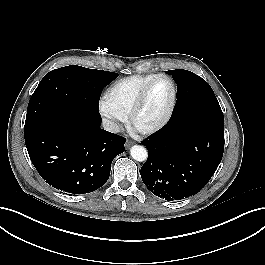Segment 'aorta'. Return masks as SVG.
<instances>
[{
  "instance_id": "aorta-1",
  "label": "aorta",
  "mask_w": 265,
  "mask_h": 265,
  "mask_svg": "<svg viewBox=\"0 0 265 265\" xmlns=\"http://www.w3.org/2000/svg\"><path fill=\"white\" fill-rule=\"evenodd\" d=\"M130 155L136 161L142 162L147 159V150L141 145H134L130 149Z\"/></svg>"
}]
</instances>
